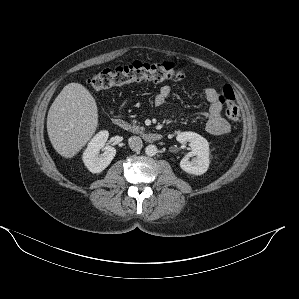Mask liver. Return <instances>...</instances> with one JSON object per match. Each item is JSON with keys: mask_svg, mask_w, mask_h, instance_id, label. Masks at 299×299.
I'll return each mask as SVG.
<instances>
[{"mask_svg": "<svg viewBox=\"0 0 299 299\" xmlns=\"http://www.w3.org/2000/svg\"><path fill=\"white\" fill-rule=\"evenodd\" d=\"M98 126V109L91 93L79 83L67 84L52 103L47 132L53 148L73 158L91 139Z\"/></svg>", "mask_w": 299, "mask_h": 299, "instance_id": "6515ba94", "label": "liver"}]
</instances>
